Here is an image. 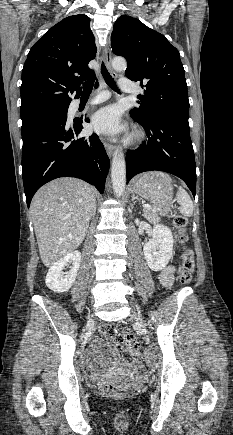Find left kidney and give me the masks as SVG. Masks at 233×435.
<instances>
[{
    "label": "left kidney",
    "instance_id": "5707ae66",
    "mask_svg": "<svg viewBox=\"0 0 233 435\" xmlns=\"http://www.w3.org/2000/svg\"><path fill=\"white\" fill-rule=\"evenodd\" d=\"M174 239L171 230L161 224L153 227L152 239L145 243L143 252L149 268L163 270L172 257Z\"/></svg>",
    "mask_w": 233,
    "mask_h": 435
}]
</instances>
